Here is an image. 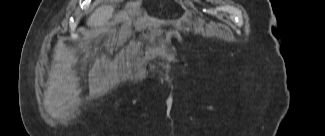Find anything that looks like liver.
Instances as JSON below:
<instances>
[{"instance_id":"1","label":"liver","mask_w":325,"mask_h":136,"mask_svg":"<svg viewBox=\"0 0 325 136\" xmlns=\"http://www.w3.org/2000/svg\"><path fill=\"white\" fill-rule=\"evenodd\" d=\"M113 12L114 7L111 5L99 7L87 19V25L90 27L105 28Z\"/></svg>"}]
</instances>
